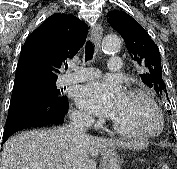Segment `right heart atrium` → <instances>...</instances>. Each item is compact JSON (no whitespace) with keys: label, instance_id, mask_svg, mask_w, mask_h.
<instances>
[{"label":"right heart atrium","instance_id":"1","mask_svg":"<svg viewBox=\"0 0 177 169\" xmlns=\"http://www.w3.org/2000/svg\"><path fill=\"white\" fill-rule=\"evenodd\" d=\"M73 119L76 122H80V123H88V124L94 123V119L88 113L83 111L74 112Z\"/></svg>","mask_w":177,"mask_h":169}]
</instances>
